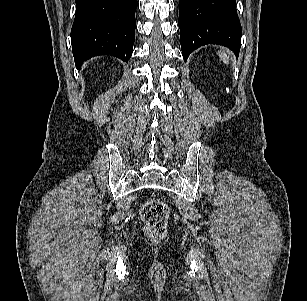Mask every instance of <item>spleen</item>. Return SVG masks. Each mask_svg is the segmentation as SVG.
Wrapping results in <instances>:
<instances>
[{"label": "spleen", "mask_w": 307, "mask_h": 301, "mask_svg": "<svg viewBox=\"0 0 307 301\" xmlns=\"http://www.w3.org/2000/svg\"><path fill=\"white\" fill-rule=\"evenodd\" d=\"M219 57L221 58V60L225 63L228 64L229 63V57L227 56V54L224 51H219L218 52Z\"/></svg>", "instance_id": "1"}]
</instances>
